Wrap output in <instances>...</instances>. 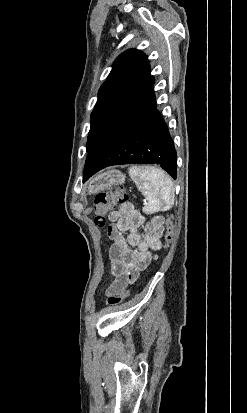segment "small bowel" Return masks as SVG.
Segmentation results:
<instances>
[{
    "label": "small bowel",
    "instance_id": "small-bowel-1",
    "mask_svg": "<svg viewBox=\"0 0 247 413\" xmlns=\"http://www.w3.org/2000/svg\"><path fill=\"white\" fill-rule=\"evenodd\" d=\"M109 220L113 222L108 228L112 241L110 272L115 279L124 276L126 280H114L106 296L108 299H119L121 293L127 291L129 283H133L140 272L154 261L152 251L161 249L163 220L157 217L145 224L144 216L131 203L120 204L118 209L111 210ZM124 233H127L126 238Z\"/></svg>",
    "mask_w": 247,
    "mask_h": 413
}]
</instances>
